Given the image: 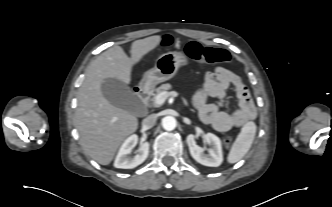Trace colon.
<instances>
[{"instance_id": "colon-1", "label": "colon", "mask_w": 332, "mask_h": 207, "mask_svg": "<svg viewBox=\"0 0 332 207\" xmlns=\"http://www.w3.org/2000/svg\"><path fill=\"white\" fill-rule=\"evenodd\" d=\"M171 37L166 36L161 43L164 45L170 44ZM186 54L197 61L209 64H228L230 62V55L226 50L214 47H203L198 42L191 41L186 45ZM232 142L230 137L224 139V144L229 146Z\"/></svg>"}]
</instances>
